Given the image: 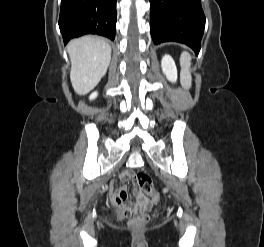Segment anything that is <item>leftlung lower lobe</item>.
<instances>
[{
  "label": "left lung lower lobe",
  "mask_w": 264,
  "mask_h": 247,
  "mask_svg": "<svg viewBox=\"0 0 264 247\" xmlns=\"http://www.w3.org/2000/svg\"><path fill=\"white\" fill-rule=\"evenodd\" d=\"M204 27L200 0H150V32L155 44L179 42L198 54Z\"/></svg>",
  "instance_id": "obj_1"
}]
</instances>
